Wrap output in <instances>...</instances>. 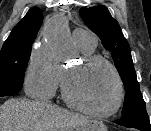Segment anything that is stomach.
Instances as JSON below:
<instances>
[{
	"mask_svg": "<svg viewBox=\"0 0 151 131\" xmlns=\"http://www.w3.org/2000/svg\"><path fill=\"white\" fill-rule=\"evenodd\" d=\"M75 131H107V127L100 121L90 120L85 124L77 126Z\"/></svg>",
	"mask_w": 151,
	"mask_h": 131,
	"instance_id": "stomach-1",
	"label": "stomach"
}]
</instances>
